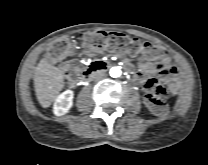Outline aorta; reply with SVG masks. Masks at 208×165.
Instances as JSON below:
<instances>
[{
  "label": "aorta",
  "mask_w": 208,
  "mask_h": 165,
  "mask_svg": "<svg viewBox=\"0 0 208 165\" xmlns=\"http://www.w3.org/2000/svg\"><path fill=\"white\" fill-rule=\"evenodd\" d=\"M109 74L113 78L120 77L122 75L121 67H119V66L112 67L109 71Z\"/></svg>",
  "instance_id": "762f6f07"
}]
</instances>
